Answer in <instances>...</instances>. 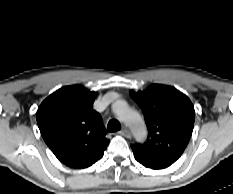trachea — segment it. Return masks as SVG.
<instances>
[{
	"label": "trachea",
	"mask_w": 233,
	"mask_h": 194,
	"mask_svg": "<svg viewBox=\"0 0 233 194\" xmlns=\"http://www.w3.org/2000/svg\"><path fill=\"white\" fill-rule=\"evenodd\" d=\"M121 128V125L118 120L112 119L108 122V130L110 132H116L119 131Z\"/></svg>",
	"instance_id": "obj_1"
}]
</instances>
